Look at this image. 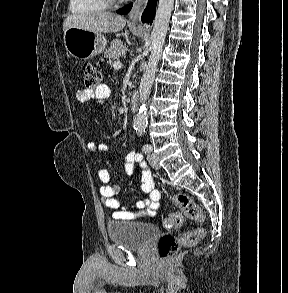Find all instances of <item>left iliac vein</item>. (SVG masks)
I'll return each instance as SVG.
<instances>
[{
  "label": "left iliac vein",
  "mask_w": 288,
  "mask_h": 293,
  "mask_svg": "<svg viewBox=\"0 0 288 293\" xmlns=\"http://www.w3.org/2000/svg\"><path fill=\"white\" fill-rule=\"evenodd\" d=\"M147 159H148V162L150 163V165L154 169H159L160 168L159 162H158L156 156L152 152H149V154L147 156Z\"/></svg>",
  "instance_id": "left-iliac-vein-1"
}]
</instances>
